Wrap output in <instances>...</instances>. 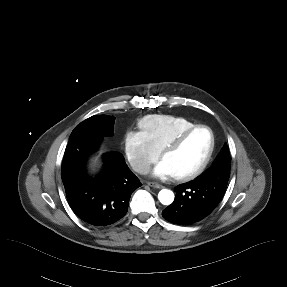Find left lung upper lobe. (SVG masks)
Segmentation results:
<instances>
[{
	"mask_svg": "<svg viewBox=\"0 0 287 287\" xmlns=\"http://www.w3.org/2000/svg\"><path fill=\"white\" fill-rule=\"evenodd\" d=\"M229 166H230L229 149H228L227 144H225L221 152L217 156L216 160L214 161L213 165L196 179L198 181H202V180L208 181L213 176L212 175L213 170H216V169L226 171V173L229 176Z\"/></svg>",
	"mask_w": 287,
	"mask_h": 287,
	"instance_id": "obj_1",
	"label": "left lung upper lobe"
}]
</instances>
